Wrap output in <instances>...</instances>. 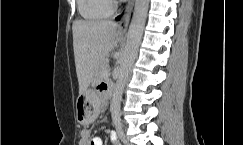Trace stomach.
I'll return each instance as SVG.
<instances>
[{"label": "stomach", "mask_w": 243, "mask_h": 145, "mask_svg": "<svg viewBox=\"0 0 243 145\" xmlns=\"http://www.w3.org/2000/svg\"><path fill=\"white\" fill-rule=\"evenodd\" d=\"M101 94L83 92L77 99V121L81 124L93 122L99 113Z\"/></svg>", "instance_id": "0dacf381"}]
</instances>
